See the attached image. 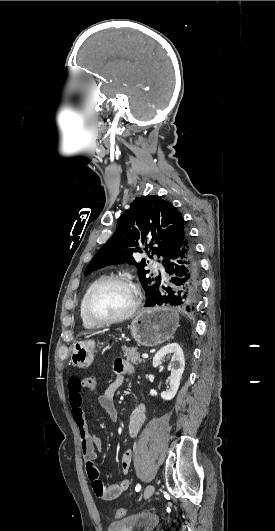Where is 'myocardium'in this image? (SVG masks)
<instances>
[{
  "mask_svg": "<svg viewBox=\"0 0 275 531\" xmlns=\"http://www.w3.org/2000/svg\"><path fill=\"white\" fill-rule=\"evenodd\" d=\"M116 282L128 285L133 291L134 297H133V302H132L130 309L125 314L115 317V318H110V319H98V318H94L93 316H91L88 311V304H89L91 297L104 285H107L110 283H116ZM139 302H140V290L128 275H110V276H106L100 279L99 281H97L88 290V292L86 293L83 299L81 311H82V315L84 319L94 326L112 325V324L123 322L131 318L136 312L139 306Z\"/></svg>",
  "mask_w": 275,
  "mask_h": 531,
  "instance_id": "1",
  "label": "myocardium"
}]
</instances>
